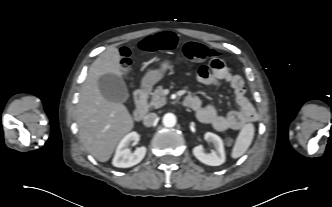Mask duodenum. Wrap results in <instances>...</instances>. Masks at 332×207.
Masks as SVG:
<instances>
[{
    "instance_id": "1",
    "label": "duodenum",
    "mask_w": 332,
    "mask_h": 207,
    "mask_svg": "<svg viewBox=\"0 0 332 207\" xmlns=\"http://www.w3.org/2000/svg\"><path fill=\"white\" fill-rule=\"evenodd\" d=\"M147 93L148 90L145 87L139 88L134 93V100L136 102V108L134 110V119L138 122L142 121L147 113ZM192 99L190 96L184 99V105L186 107L191 106Z\"/></svg>"
}]
</instances>
